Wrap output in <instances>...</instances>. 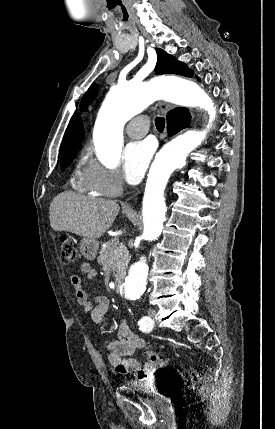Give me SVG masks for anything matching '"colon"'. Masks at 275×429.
Wrapping results in <instances>:
<instances>
[{
    "instance_id": "5ec220e1",
    "label": "colon",
    "mask_w": 275,
    "mask_h": 429,
    "mask_svg": "<svg viewBox=\"0 0 275 429\" xmlns=\"http://www.w3.org/2000/svg\"><path fill=\"white\" fill-rule=\"evenodd\" d=\"M60 257L63 264H71L76 259V249L70 240L63 239L61 241ZM147 359L151 364L159 368H165L168 363L164 357L152 351H147ZM199 379V372L194 370L192 371L190 379L187 381L186 385L188 387H193L199 381Z\"/></svg>"
}]
</instances>
